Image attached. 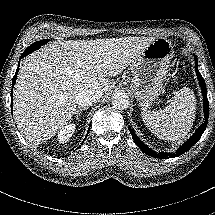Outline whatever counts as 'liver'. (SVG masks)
<instances>
[{"mask_svg":"<svg viewBox=\"0 0 215 215\" xmlns=\"http://www.w3.org/2000/svg\"><path fill=\"white\" fill-rule=\"evenodd\" d=\"M154 40L55 41L24 58L13 91V116L24 138L34 146L52 138L75 114L79 92L110 91L115 83L109 77L131 65Z\"/></svg>","mask_w":215,"mask_h":215,"instance_id":"1","label":"liver"}]
</instances>
